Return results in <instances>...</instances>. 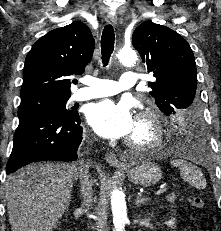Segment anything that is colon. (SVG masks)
<instances>
[{"mask_svg":"<svg viewBox=\"0 0 221 231\" xmlns=\"http://www.w3.org/2000/svg\"><path fill=\"white\" fill-rule=\"evenodd\" d=\"M189 202L194 208L199 210H203L205 207L203 200L198 196H191Z\"/></svg>","mask_w":221,"mask_h":231,"instance_id":"obj_1","label":"colon"}]
</instances>
